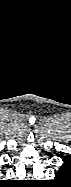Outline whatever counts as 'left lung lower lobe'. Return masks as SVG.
Wrapping results in <instances>:
<instances>
[{"instance_id":"obj_1","label":"left lung lower lobe","mask_w":71,"mask_h":187,"mask_svg":"<svg viewBox=\"0 0 71 187\" xmlns=\"http://www.w3.org/2000/svg\"><path fill=\"white\" fill-rule=\"evenodd\" d=\"M57 181L69 182L71 178V158L68 156L64 160V164L58 169L55 176Z\"/></svg>"}]
</instances>
